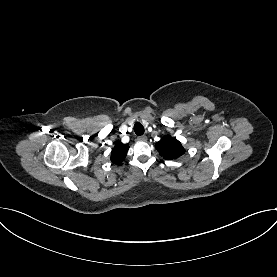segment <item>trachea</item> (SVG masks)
Listing matches in <instances>:
<instances>
[{
  "label": "trachea",
  "mask_w": 277,
  "mask_h": 277,
  "mask_svg": "<svg viewBox=\"0 0 277 277\" xmlns=\"http://www.w3.org/2000/svg\"><path fill=\"white\" fill-rule=\"evenodd\" d=\"M134 132L136 135L141 136L144 134V127L141 123L137 122L134 125Z\"/></svg>",
  "instance_id": "1"
}]
</instances>
